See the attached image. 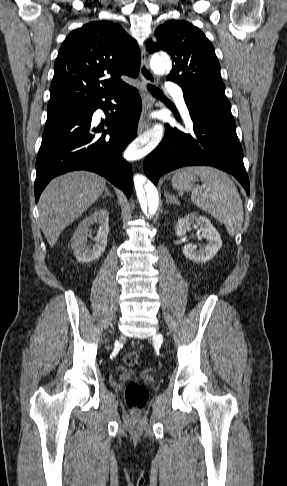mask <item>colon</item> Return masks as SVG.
<instances>
[{
    "instance_id": "1",
    "label": "colon",
    "mask_w": 287,
    "mask_h": 486,
    "mask_svg": "<svg viewBox=\"0 0 287 486\" xmlns=\"http://www.w3.org/2000/svg\"><path fill=\"white\" fill-rule=\"evenodd\" d=\"M123 361L127 366L134 367L138 365L140 356L136 351H128L124 354ZM124 398L131 411L139 412L148 399V390L144 384L132 381L125 388Z\"/></svg>"
}]
</instances>
